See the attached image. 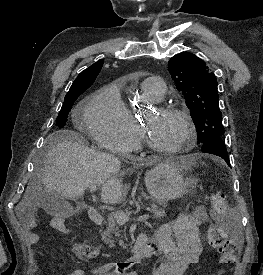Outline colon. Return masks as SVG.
<instances>
[{
    "label": "colon",
    "instance_id": "1",
    "mask_svg": "<svg viewBox=\"0 0 263 275\" xmlns=\"http://www.w3.org/2000/svg\"><path fill=\"white\" fill-rule=\"evenodd\" d=\"M209 203L213 214L219 216L226 209L225 195L219 192L212 193L209 196ZM54 228L62 233H67L68 228L64 223L55 221ZM208 244L219 252V262L228 267H232L236 261V244L228 238L226 232L219 226H211L206 234Z\"/></svg>",
    "mask_w": 263,
    "mask_h": 275
}]
</instances>
